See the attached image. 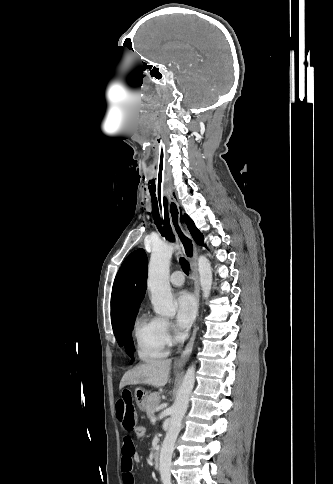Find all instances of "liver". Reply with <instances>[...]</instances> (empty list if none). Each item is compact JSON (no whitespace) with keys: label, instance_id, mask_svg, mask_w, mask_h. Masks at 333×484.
Instances as JSON below:
<instances>
[{"label":"liver","instance_id":"1","mask_svg":"<svg viewBox=\"0 0 333 484\" xmlns=\"http://www.w3.org/2000/svg\"><path fill=\"white\" fill-rule=\"evenodd\" d=\"M171 359L151 360L127 371L120 382V389L126 385L149 384L159 388L167 384L171 369Z\"/></svg>","mask_w":333,"mask_h":484}]
</instances>
